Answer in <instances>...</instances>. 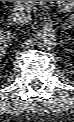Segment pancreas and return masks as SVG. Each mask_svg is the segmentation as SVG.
<instances>
[{"label":"pancreas","mask_w":74,"mask_h":122,"mask_svg":"<svg viewBox=\"0 0 74 122\" xmlns=\"http://www.w3.org/2000/svg\"><path fill=\"white\" fill-rule=\"evenodd\" d=\"M18 8H31L37 4V1H12Z\"/></svg>","instance_id":"pancreas-1"}]
</instances>
